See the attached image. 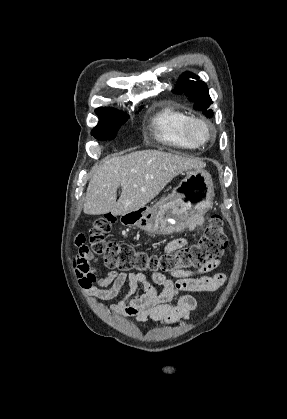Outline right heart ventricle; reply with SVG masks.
I'll return each mask as SVG.
<instances>
[{"label": "right heart ventricle", "instance_id": "obj_1", "mask_svg": "<svg viewBox=\"0 0 287 419\" xmlns=\"http://www.w3.org/2000/svg\"><path fill=\"white\" fill-rule=\"evenodd\" d=\"M188 115L170 104L159 107L152 116L150 124L154 138L160 143L182 149H194L183 132V125Z\"/></svg>", "mask_w": 287, "mask_h": 419}]
</instances>
